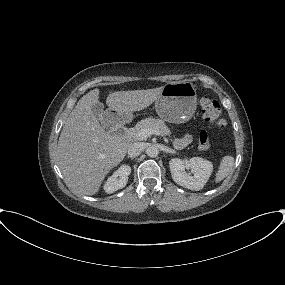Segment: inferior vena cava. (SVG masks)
<instances>
[{
  "instance_id": "obj_1",
  "label": "inferior vena cava",
  "mask_w": 285,
  "mask_h": 285,
  "mask_svg": "<svg viewBox=\"0 0 285 285\" xmlns=\"http://www.w3.org/2000/svg\"><path fill=\"white\" fill-rule=\"evenodd\" d=\"M144 150V145L142 143H133L128 148V156L134 158L139 156Z\"/></svg>"
}]
</instances>
